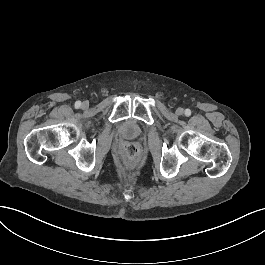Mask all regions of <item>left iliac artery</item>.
<instances>
[{
    "label": "left iliac artery",
    "mask_w": 265,
    "mask_h": 265,
    "mask_svg": "<svg viewBox=\"0 0 265 265\" xmlns=\"http://www.w3.org/2000/svg\"><path fill=\"white\" fill-rule=\"evenodd\" d=\"M185 115L186 116H190L191 115V110L190 109H186L185 110Z\"/></svg>",
    "instance_id": "44dca946"
}]
</instances>
